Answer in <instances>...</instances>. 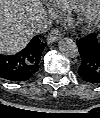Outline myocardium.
Listing matches in <instances>:
<instances>
[{
    "label": "myocardium",
    "mask_w": 100,
    "mask_h": 118,
    "mask_svg": "<svg viewBox=\"0 0 100 118\" xmlns=\"http://www.w3.org/2000/svg\"><path fill=\"white\" fill-rule=\"evenodd\" d=\"M100 0H90L82 7L79 23L84 26L92 25L98 18Z\"/></svg>",
    "instance_id": "myocardium-1"
}]
</instances>
